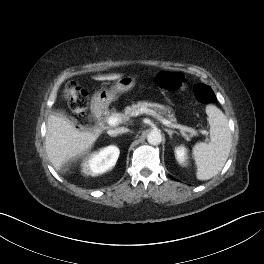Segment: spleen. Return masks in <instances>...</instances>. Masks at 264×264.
<instances>
[{
  "label": "spleen",
  "mask_w": 264,
  "mask_h": 264,
  "mask_svg": "<svg viewBox=\"0 0 264 264\" xmlns=\"http://www.w3.org/2000/svg\"><path fill=\"white\" fill-rule=\"evenodd\" d=\"M210 125L209 143H197L193 147V156L197 166L196 177L199 180H209L216 176L224 167L232 146V136L228 119L214 105L206 107Z\"/></svg>",
  "instance_id": "obj_1"
}]
</instances>
